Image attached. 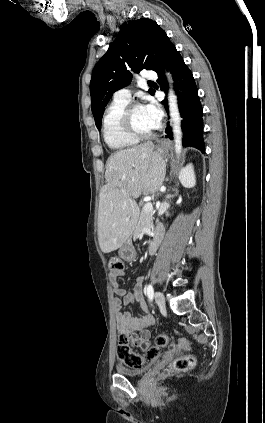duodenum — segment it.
I'll return each mask as SVG.
<instances>
[{"mask_svg": "<svg viewBox=\"0 0 265 423\" xmlns=\"http://www.w3.org/2000/svg\"><path fill=\"white\" fill-rule=\"evenodd\" d=\"M163 233H164V229L162 227H157L155 229L153 237L149 241L148 246H147V253L148 254L153 255L157 251L159 244L162 240Z\"/></svg>", "mask_w": 265, "mask_h": 423, "instance_id": "1", "label": "duodenum"}]
</instances>
